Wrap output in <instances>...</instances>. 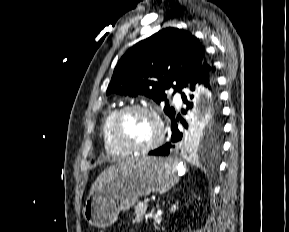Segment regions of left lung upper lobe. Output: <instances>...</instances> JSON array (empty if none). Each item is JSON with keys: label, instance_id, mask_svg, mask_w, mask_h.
Wrapping results in <instances>:
<instances>
[{"label": "left lung upper lobe", "instance_id": "1", "mask_svg": "<svg viewBox=\"0 0 289 232\" xmlns=\"http://www.w3.org/2000/svg\"><path fill=\"white\" fill-rule=\"evenodd\" d=\"M205 51L191 33L177 28H165L131 47L119 60L107 89L108 94H143L158 104L165 101V113L174 118L175 110L168 106L165 90L179 91L187 86L201 67ZM192 126L184 135L186 150L207 153L220 149L222 123L219 115Z\"/></svg>", "mask_w": 289, "mask_h": 232}]
</instances>
